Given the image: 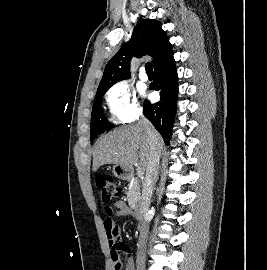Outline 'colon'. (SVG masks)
Returning a JSON list of instances; mask_svg holds the SVG:
<instances>
[{
  "label": "colon",
  "instance_id": "5ec220e1",
  "mask_svg": "<svg viewBox=\"0 0 267 270\" xmlns=\"http://www.w3.org/2000/svg\"><path fill=\"white\" fill-rule=\"evenodd\" d=\"M96 185L99 189L101 200L104 203L110 202L121 194V189L113 177L109 175H101L96 180ZM113 267L115 270L121 269L120 259L113 260Z\"/></svg>",
  "mask_w": 267,
  "mask_h": 270
}]
</instances>
